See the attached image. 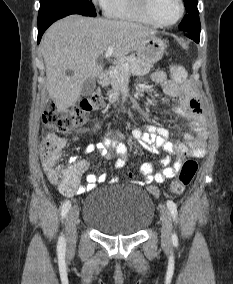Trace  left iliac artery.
Here are the masks:
<instances>
[{
  "label": "left iliac artery",
  "instance_id": "1",
  "mask_svg": "<svg viewBox=\"0 0 233 284\" xmlns=\"http://www.w3.org/2000/svg\"><path fill=\"white\" fill-rule=\"evenodd\" d=\"M167 207L173 217L174 222H177V206L172 200L167 201ZM172 241L174 244H177V236L176 234L172 235Z\"/></svg>",
  "mask_w": 233,
  "mask_h": 284
}]
</instances>
